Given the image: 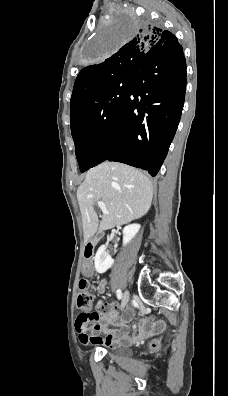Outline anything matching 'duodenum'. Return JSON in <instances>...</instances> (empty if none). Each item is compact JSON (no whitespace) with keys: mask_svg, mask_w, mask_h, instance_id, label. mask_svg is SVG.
Segmentation results:
<instances>
[{"mask_svg":"<svg viewBox=\"0 0 228 396\" xmlns=\"http://www.w3.org/2000/svg\"><path fill=\"white\" fill-rule=\"evenodd\" d=\"M94 244H95V242H89L87 244V246H86V250L85 251H88V252L92 253V249H93Z\"/></svg>","mask_w":228,"mask_h":396,"instance_id":"obj_1","label":"duodenum"}]
</instances>
